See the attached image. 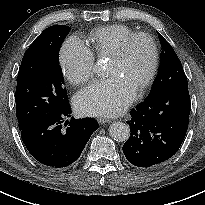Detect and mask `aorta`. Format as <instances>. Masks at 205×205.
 Instances as JSON below:
<instances>
[{
    "label": "aorta",
    "instance_id": "aorta-1",
    "mask_svg": "<svg viewBox=\"0 0 205 205\" xmlns=\"http://www.w3.org/2000/svg\"><path fill=\"white\" fill-rule=\"evenodd\" d=\"M102 67L98 65L95 68V72L101 74ZM109 135L115 141L124 142L130 136V128L127 124L123 122H114L109 127Z\"/></svg>",
    "mask_w": 205,
    "mask_h": 205
}]
</instances>
